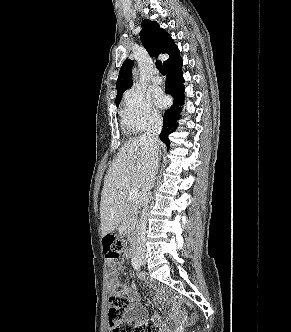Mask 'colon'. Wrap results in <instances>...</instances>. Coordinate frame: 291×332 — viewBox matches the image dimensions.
Wrapping results in <instances>:
<instances>
[{"mask_svg": "<svg viewBox=\"0 0 291 332\" xmlns=\"http://www.w3.org/2000/svg\"><path fill=\"white\" fill-rule=\"evenodd\" d=\"M106 258H119L124 249V240L117 234H107L103 238ZM129 307V300L125 295V288L117 284L114 293L109 298L108 320L110 332H159L157 324L145 321L140 324L126 320L125 314Z\"/></svg>", "mask_w": 291, "mask_h": 332, "instance_id": "5ec220e1", "label": "colon"}]
</instances>
